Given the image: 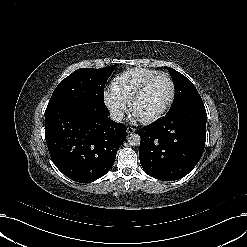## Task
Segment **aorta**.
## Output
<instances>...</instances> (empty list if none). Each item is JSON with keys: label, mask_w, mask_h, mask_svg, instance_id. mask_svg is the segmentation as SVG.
I'll return each instance as SVG.
<instances>
[{"label": "aorta", "mask_w": 247, "mask_h": 247, "mask_svg": "<svg viewBox=\"0 0 247 247\" xmlns=\"http://www.w3.org/2000/svg\"><path fill=\"white\" fill-rule=\"evenodd\" d=\"M127 142L131 146H138L140 145L141 138L137 133H131L127 137Z\"/></svg>", "instance_id": "obj_1"}]
</instances>
